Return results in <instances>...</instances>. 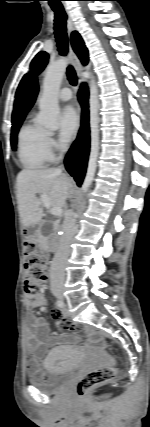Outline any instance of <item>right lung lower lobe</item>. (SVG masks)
<instances>
[{"label":"right lung lower lobe","instance_id":"right-lung-lower-lobe-1","mask_svg":"<svg viewBox=\"0 0 150 427\" xmlns=\"http://www.w3.org/2000/svg\"><path fill=\"white\" fill-rule=\"evenodd\" d=\"M78 97L83 108L82 125L76 141L73 143L65 158V165L67 171L74 177L78 186H80L86 172L90 147L88 124V89L86 84L81 85Z\"/></svg>","mask_w":150,"mask_h":427}]
</instances>
